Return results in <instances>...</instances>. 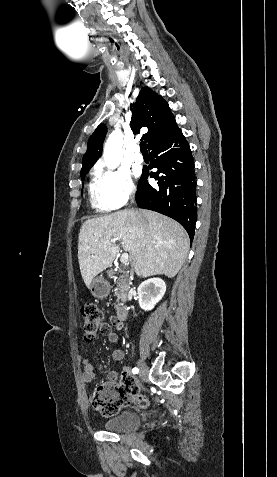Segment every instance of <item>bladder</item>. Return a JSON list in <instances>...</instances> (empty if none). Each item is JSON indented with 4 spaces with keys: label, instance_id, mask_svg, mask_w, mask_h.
Instances as JSON below:
<instances>
[{
    "label": "bladder",
    "instance_id": "bladder-1",
    "mask_svg": "<svg viewBox=\"0 0 277 477\" xmlns=\"http://www.w3.org/2000/svg\"><path fill=\"white\" fill-rule=\"evenodd\" d=\"M141 424L140 416L132 411L122 412L103 424V428L111 432H126L137 429Z\"/></svg>",
    "mask_w": 277,
    "mask_h": 477
}]
</instances>
